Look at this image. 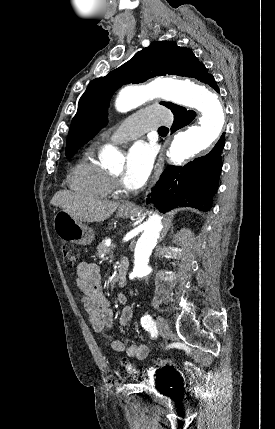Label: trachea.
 Wrapping results in <instances>:
<instances>
[{
	"instance_id": "3493384b",
	"label": "trachea",
	"mask_w": 275,
	"mask_h": 429,
	"mask_svg": "<svg viewBox=\"0 0 275 429\" xmlns=\"http://www.w3.org/2000/svg\"><path fill=\"white\" fill-rule=\"evenodd\" d=\"M169 129L167 127H160L158 129L159 132H164V131H168Z\"/></svg>"
}]
</instances>
